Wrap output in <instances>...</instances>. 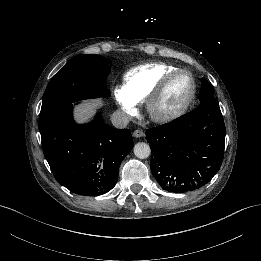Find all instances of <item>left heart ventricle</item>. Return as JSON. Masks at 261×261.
Masks as SVG:
<instances>
[{
	"label": "left heart ventricle",
	"instance_id": "obj_1",
	"mask_svg": "<svg viewBox=\"0 0 261 261\" xmlns=\"http://www.w3.org/2000/svg\"><path fill=\"white\" fill-rule=\"evenodd\" d=\"M191 87L188 79L180 75L173 81L162 107L166 110L175 109L180 106L190 93Z\"/></svg>",
	"mask_w": 261,
	"mask_h": 261
}]
</instances>
